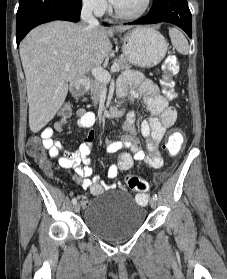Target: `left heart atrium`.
Segmentation results:
<instances>
[{"mask_svg": "<svg viewBox=\"0 0 227 279\" xmlns=\"http://www.w3.org/2000/svg\"><path fill=\"white\" fill-rule=\"evenodd\" d=\"M112 4H115L117 0H110Z\"/></svg>", "mask_w": 227, "mask_h": 279, "instance_id": "1", "label": "left heart atrium"}]
</instances>
